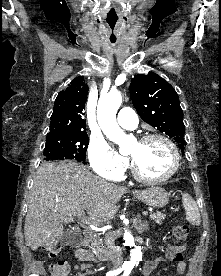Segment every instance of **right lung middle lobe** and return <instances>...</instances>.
<instances>
[{
	"instance_id": "dd1d6c3e",
	"label": "right lung middle lobe",
	"mask_w": 221,
	"mask_h": 276,
	"mask_svg": "<svg viewBox=\"0 0 221 276\" xmlns=\"http://www.w3.org/2000/svg\"><path fill=\"white\" fill-rule=\"evenodd\" d=\"M88 143L87 133L47 136L43 152L44 161L60 159L84 161Z\"/></svg>"
}]
</instances>
